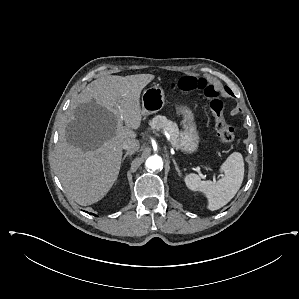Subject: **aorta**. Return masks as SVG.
<instances>
[{
    "instance_id": "762f6f07",
    "label": "aorta",
    "mask_w": 299,
    "mask_h": 299,
    "mask_svg": "<svg viewBox=\"0 0 299 299\" xmlns=\"http://www.w3.org/2000/svg\"><path fill=\"white\" fill-rule=\"evenodd\" d=\"M146 167L148 169H151L153 171L155 170H161L163 168V161L162 158L158 155L150 156L145 163Z\"/></svg>"
}]
</instances>
